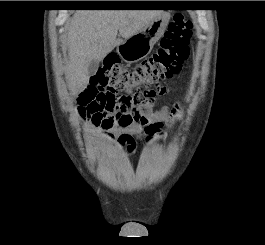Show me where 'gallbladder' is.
Masks as SVG:
<instances>
[{"label": "gallbladder", "mask_w": 265, "mask_h": 245, "mask_svg": "<svg viewBox=\"0 0 265 245\" xmlns=\"http://www.w3.org/2000/svg\"><path fill=\"white\" fill-rule=\"evenodd\" d=\"M99 67V61L98 60H92L88 65V74L89 76H92L96 73Z\"/></svg>", "instance_id": "1"}]
</instances>
